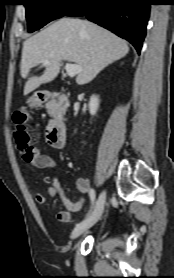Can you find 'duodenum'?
<instances>
[{
    "label": "duodenum",
    "mask_w": 174,
    "mask_h": 278,
    "mask_svg": "<svg viewBox=\"0 0 174 278\" xmlns=\"http://www.w3.org/2000/svg\"><path fill=\"white\" fill-rule=\"evenodd\" d=\"M57 96L56 92L41 91L37 95V100L40 103L47 102L54 99ZM46 136L48 142L54 147H62L66 138V127L62 120L54 119L47 127Z\"/></svg>",
    "instance_id": "410a0bca"
}]
</instances>
